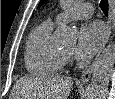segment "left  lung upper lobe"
<instances>
[{
    "instance_id": "obj_1",
    "label": "left lung upper lobe",
    "mask_w": 115,
    "mask_h": 99,
    "mask_svg": "<svg viewBox=\"0 0 115 99\" xmlns=\"http://www.w3.org/2000/svg\"><path fill=\"white\" fill-rule=\"evenodd\" d=\"M45 1H46V0H41L39 6H40L41 4H43Z\"/></svg>"
}]
</instances>
